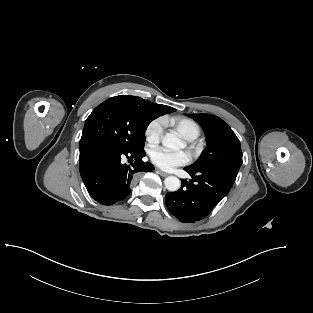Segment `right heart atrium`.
<instances>
[{
	"instance_id": "d8ad5b80",
	"label": "right heart atrium",
	"mask_w": 313,
	"mask_h": 313,
	"mask_svg": "<svg viewBox=\"0 0 313 313\" xmlns=\"http://www.w3.org/2000/svg\"><path fill=\"white\" fill-rule=\"evenodd\" d=\"M164 121L161 118L152 120L145 129V138L148 143L156 144L159 142L162 131H163Z\"/></svg>"
}]
</instances>
